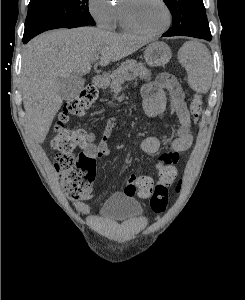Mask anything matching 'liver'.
Wrapping results in <instances>:
<instances>
[{
	"instance_id": "6515ba94",
	"label": "liver",
	"mask_w": 245,
	"mask_h": 300,
	"mask_svg": "<svg viewBox=\"0 0 245 300\" xmlns=\"http://www.w3.org/2000/svg\"><path fill=\"white\" fill-rule=\"evenodd\" d=\"M141 36L118 34L94 27L57 29L32 39L22 58L23 105L28 127L43 143L63 104L59 80L71 74L86 75L100 57L106 66L127 57L147 44Z\"/></svg>"
}]
</instances>
